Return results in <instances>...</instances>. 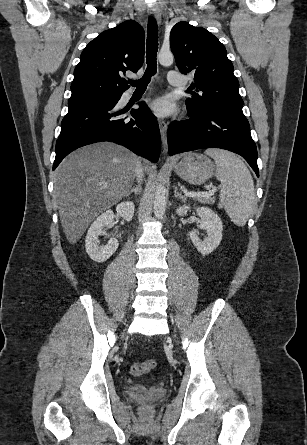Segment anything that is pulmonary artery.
Segmentation results:
<instances>
[{"label": "pulmonary artery", "mask_w": 307, "mask_h": 445, "mask_svg": "<svg viewBox=\"0 0 307 445\" xmlns=\"http://www.w3.org/2000/svg\"><path fill=\"white\" fill-rule=\"evenodd\" d=\"M167 84H174L175 90H188L189 83L186 75H180L178 69H169L166 77Z\"/></svg>", "instance_id": "obj_1"}]
</instances>
